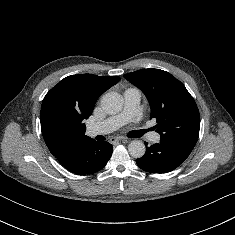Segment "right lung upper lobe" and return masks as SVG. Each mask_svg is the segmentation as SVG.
Returning <instances> with one entry per match:
<instances>
[{"label":"right lung upper lobe","mask_w":235,"mask_h":235,"mask_svg":"<svg viewBox=\"0 0 235 235\" xmlns=\"http://www.w3.org/2000/svg\"><path fill=\"white\" fill-rule=\"evenodd\" d=\"M119 81L118 76L71 75L46 94L40 113L41 131L60 163L91 139L85 135L84 120L92 114L98 97Z\"/></svg>","instance_id":"1"}]
</instances>
